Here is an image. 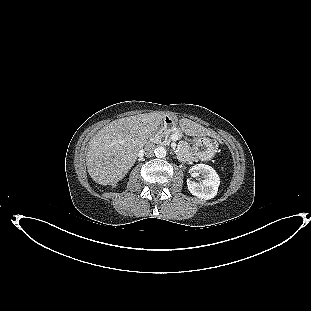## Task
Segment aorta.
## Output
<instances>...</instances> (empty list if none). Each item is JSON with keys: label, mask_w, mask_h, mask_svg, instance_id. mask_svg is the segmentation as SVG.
Returning a JSON list of instances; mask_svg holds the SVG:
<instances>
[{"label": "aorta", "mask_w": 311, "mask_h": 311, "mask_svg": "<svg viewBox=\"0 0 311 311\" xmlns=\"http://www.w3.org/2000/svg\"><path fill=\"white\" fill-rule=\"evenodd\" d=\"M166 148L163 146H158L155 148L154 153L157 158H164L166 156Z\"/></svg>", "instance_id": "762f6f07"}]
</instances>
